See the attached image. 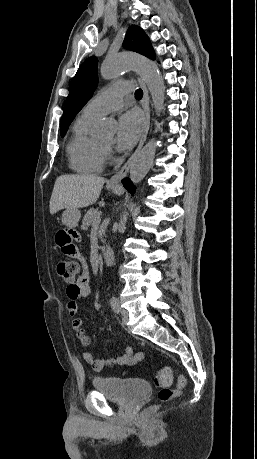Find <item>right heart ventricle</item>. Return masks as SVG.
Returning <instances> with one entry per match:
<instances>
[{
  "label": "right heart ventricle",
  "instance_id": "right-heart-ventricle-1",
  "mask_svg": "<svg viewBox=\"0 0 257 459\" xmlns=\"http://www.w3.org/2000/svg\"><path fill=\"white\" fill-rule=\"evenodd\" d=\"M96 119L85 113L79 116L67 145L70 168L80 174H96L104 168L105 149L90 134L91 126Z\"/></svg>",
  "mask_w": 257,
  "mask_h": 459
}]
</instances>
